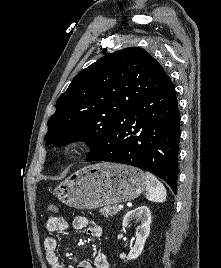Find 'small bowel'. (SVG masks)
I'll return each instance as SVG.
<instances>
[{"label": "small bowel", "instance_id": "small-bowel-1", "mask_svg": "<svg viewBox=\"0 0 221 268\" xmlns=\"http://www.w3.org/2000/svg\"><path fill=\"white\" fill-rule=\"evenodd\" d=\"M71 227L74 230H86L95 238L102 235L101 227L86 217L78 216L73 219L71 225L62 217L51 216L47 219L46 228L50 233L65 232ZM58 240L55 236L49 235L44 240L46 260L51 268H65L61 263L58 253ZM77 268H110L108 259L104 253H98L93 262L89 260L81 261Z\"/></svg>", "mask_w": 221, "mask_h": 268}]
</instances>
